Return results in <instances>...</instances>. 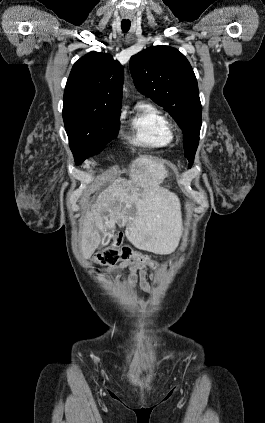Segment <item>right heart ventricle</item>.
Returning a JSON list of instances; mask_svg holds the SVG:
<instances>
[{"label":"right heart ventricle","instance_id":"obj_1","mask_svg":"<svg viewBox=\"0 0 265 423\" xmlns=\"http://www.w3.org/2000/svg\"><path fill=\"white\" fill-rule=\"evenodd\" d=\"M132 143L147 147H167L173 142V134L165 115L154 105L139 102L130 120Z\"/></svg>","mask_w":265,"mask_h":423}]
</instances>
